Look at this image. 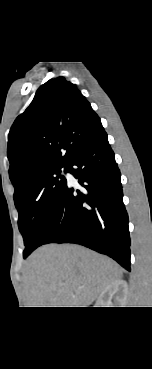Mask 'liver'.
I'll list each match as a JSON object with an SVG mask.
<instances>
[{"instance_id":"1","label":"liver","mask_w":152,"mask_h":369,"mask_svg":"<svg viewBox=\"0 0 152 369\" xmlns=\"http://www.w3.org/2000/svg\"><path fill=\"white\" fill-rule=\"evenodd\" d=\"M122 275L114 261L81 246L45 245L25 265L26 305L88 307Z\"/></svg>"}]
</instances>
